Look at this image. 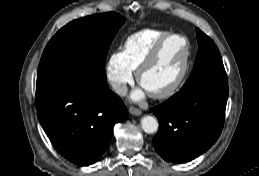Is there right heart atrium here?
I'll use <instances>...</instances> for the list:
<instances>
[{"instance_id": "1", "label": "right heart atrium", "mask_w": 259, "mask_h": 176, "mask_svg": "<svg viewBox=\"0 0 259 176\" xmlns=\"http://www.w3.org/2000/svg\"><path fill=\"white\" fill-rule=\"evenodd\" d=\"M105 75L117 94L125 93L127 85L133 81V72L126 65L121 51H115L109 55L105 65Z\"/></svg>"}]
</instances>
